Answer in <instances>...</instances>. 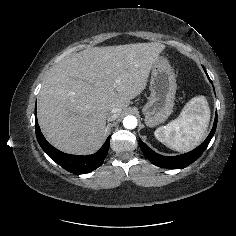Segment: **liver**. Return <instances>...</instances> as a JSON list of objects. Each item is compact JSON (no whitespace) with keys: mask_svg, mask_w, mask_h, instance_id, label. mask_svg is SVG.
I'll list each match as a JSON object with an SVG mask.
<instances>
[{"mask_svg":"<svg viewBox=\"0 0 236 236\" xmlns=\"http://www.w3.org/2000/svg\"><path fill=\"white\" fill-rule=\"evenodd\" d=\"M164 49L156 42L90 47L61 61L38 97L45 138L66 153L94 152L104 138L108 113L116 108L118 118L145 89Z\"/></svg>","mask_w":236,"mask_h":236,"instance_id":"1","label":"liver"}]
</instances>
